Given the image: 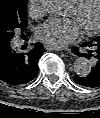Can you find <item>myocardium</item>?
<instances>
[{"label": "myocardium", "instance_id": "myocardium-1", "mask_svg": "<svg viewBox=\"0 0 100 118\" xmlns=\"http://www.w3.org/2000/svg\"><path fill=\"white\" fill-rule=\"evenodd\" d=\"M87 1L88 0H76L72 3L73 4L72 6L76 12H80ZM97 2H98V19L93 26L84 30L85 34L87 35H93L100 29V0H97Z\"/></svg>", "mask_w": 100, "mask_h": 118}]
</instances>
